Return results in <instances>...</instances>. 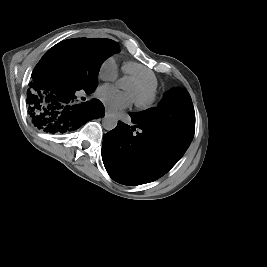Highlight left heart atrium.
<instances>
[{
    "label": "left heart atrium",
    "mask_w": 267,
    "mask_h": 267,
    "mask_svg": "<svg viewBox=\"0 0 267 267\" xmlns=\"http://www.w3.org/2000/svg\"><path fill=\"white\" fill-rule=\"evenodd\" d=\"M100 97L107 103L112 110L126 108L131 102V95L121 92L113 86H104L100 89Z\"/></svg>",
    "instance_id": "obj_1"
}]
</instances>
